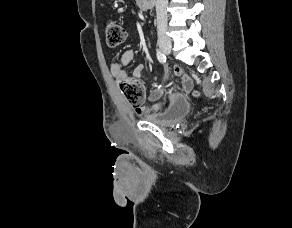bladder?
<instances>
[{
  "instance_id": "bladder-1",
  "label": "bladder",
  "mask_w": 292,
  "mask_h": 228,
  "mask_svg": "<svg viewBox=\"0 0 292 228\" xmlns=\"http://www.w3.org/2000/svg\"><path fill=\"white\" fill-rule=\"evenodd\" d=\"M190 111V106L186 100L174 104L167 112L163 114H154L146 116L147 122L158 126H168L184 118Z\"/></svg>"
}]
</instances>
